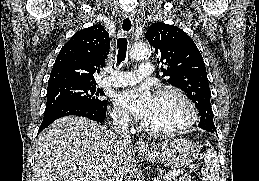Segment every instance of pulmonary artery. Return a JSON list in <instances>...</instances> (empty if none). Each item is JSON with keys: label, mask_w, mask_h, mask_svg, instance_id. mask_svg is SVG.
I'll use <instances>...</instances> for the list:
<instances>
[{"label": "pulmonary artery", "mask_w": 259, "mask_h": 181, "mask_svg": "<svg viewBox=\"0 0 259 181\" xmlns=\"http://www.w3.org/2000/svg\"><path fill=\"white\" fill-rule=\"evenodd\" d=\"M153 74V66L150 62H142L139 72L133 71H113L112 75L104 78L101 81L102 86L121 87L138 83L143 77H148Z\"/></svg>", "instance_id": "e3ab8cb5"}]
</instances>
